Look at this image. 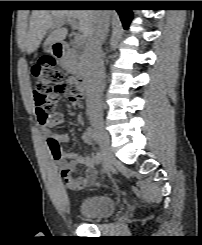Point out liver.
Returning a JSON list of instances; mask_svg holds the SVG:
<instances>
[{"label":"liver","mask_w":202,"mask_h":245,"mask_svg":"<svg viewBox=\"0 0 202 245\" xmlns=\"http://www.w3.org/2000/svg\"><path fill=\"white\" fill-rule=\"evenodd\" d=\"M110 19L112 12H104ZM98 12L93 10H34L31 15L29 30L24 39V47L28 54L37 50L45 37L52 28L56 27L44 42V46L62 42L68 31L66 28L56 26L57 22L67 19L78 20L79 31L82 32L85 40L92 32Z\"/></svg>","instance_id":"1"}]
</instances>
